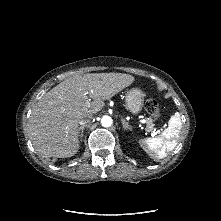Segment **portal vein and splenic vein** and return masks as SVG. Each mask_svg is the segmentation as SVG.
<instances>
[{"label": "portal vein and splenic vein", "instance_id": "obj_1", "mask_svg": "<svg viewBox=\"0 0 221 221\" xmlns=\"http://www.w3.org/2000/svg\"><path fill=\"white\" fill-rule=\"evenodd\" d=\"M89 107H90V103H89V101H88V98L86 97V108H89ZM139 122H140V123H144L145 121H144V120H140ZM146 130H147V131H150V130H152V129L146 128ZM155 131H156V129H154V130L152 131L153 136L156 134Z\"/></svg>", "mask_w": 221, "mask_h": 221}]
</instances>
